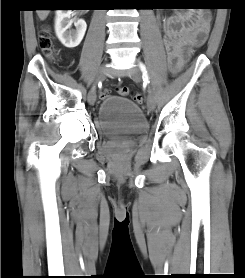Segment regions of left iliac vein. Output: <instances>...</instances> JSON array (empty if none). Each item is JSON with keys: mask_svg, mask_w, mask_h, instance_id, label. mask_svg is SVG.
Masks as SVG:
<instances>
[{"mask_svg": "<svg viewBox=\"0 0 245 278\" xmlns=\"http://www.w3.org/2000/svg\"><path fill=\"white\" fill-rule=\"evenodd\" d=\"M130 76L136 82H140L142 80V72H141V70H139L136 67H134L130 70ZM147 106L150 110H153L155 108V97H154L152 91L149 92V95L147 98Z\"/></svg>", "mask_w": 245, "mask_h": 278, "instance_id": "1", "label": "left iliac vein"}]
</instances>
